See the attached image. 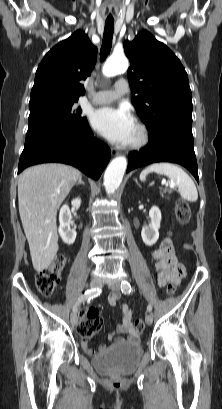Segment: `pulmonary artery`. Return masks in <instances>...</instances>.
Instances as JSON below:
<instances>
[{
	"mask_svg": "<svg viewBox=\"0 0 222 409\" xmlns=\"http://www.w3.org/2000/svg\"><path fill=\"white\" fill-rule=\"evenodd\" d=\"M129 88L124 80H118L112 89L99 91L95 94L92 102L95 104L110 103L128 92Z\"/></svg>",
	"mask_w": 222,
	"mask_h": 409,
	"instance_id": "obj_1",
	"label": "pulmonary artery"
}]
</instances>
